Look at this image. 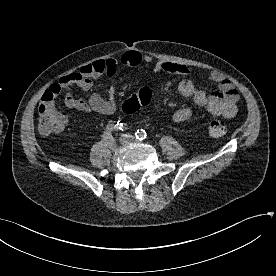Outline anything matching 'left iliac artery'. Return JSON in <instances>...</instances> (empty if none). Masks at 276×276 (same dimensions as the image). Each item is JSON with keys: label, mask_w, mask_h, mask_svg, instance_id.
I'll return each instance as SVG.
<instances>
[{"label": "left iliac artery", "mask_w": 276, "mask_h": 276, "mask_svg": "<svg viewBox=\"0 0 276 276\" xmlns=\"http://www.w3.org/2000/svg\"><path fill=\"white\" fill-rule=\"evenodd\" d=\"M135 135L138 140H144L147 137V133L143 129L137 130Z\"/></svg>", "instance_id": "obj_1"}]
</instances>
